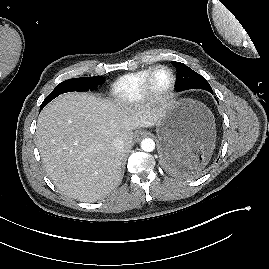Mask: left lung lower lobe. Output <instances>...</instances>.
<instances>
[{"label": "left lung lower lobe", "instance_id": "obj_1", "mask_svg": "<svg viewBox=\"0 0 269 269\" xmlns=\"http://www.w3.org/2000/svg\"><path fill=\"white\" fill-rule=\"evenodd\" d=\"M210 93H213V91H210ZM181 158L182 156L177 145L167 144L164 146L161 159L167 169L176 172L182 171L183 168L179 165Z\"/></svg>", "mask_w": 269, "mask_h": 269}]
</instances>
